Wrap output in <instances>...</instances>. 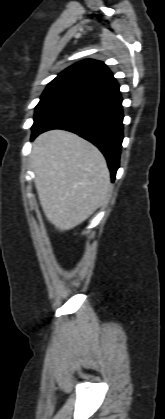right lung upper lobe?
<instances>
[{"label":"right lung upper lobe","mask_w":165,"mask_h":419,"mask_svg":"<svg viewBox=\"0 0 165 419\" xmlns=\"http://www.w3.org/2000/svg\"><path fill=\"white\" fill-rule=\"evenodd\" d=\"M115 83V78L104 63L84 60L61 72L47 88L66 89L88 95Z\"/></svg>","instance_id":"cb5924a9"}]
</instances>
